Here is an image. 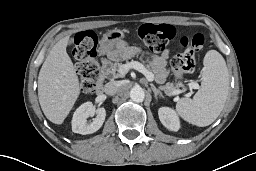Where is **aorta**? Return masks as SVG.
Wrapping results in <instances>:
<instances>
[{
	"label": "aorta",
	"instance_id": "1",
	"mask_svg": "<svg viewBox=\"0 0 256 171\" xmlns=\"http://www.w3.org/2000/svg\"><path fill=\"white\" fill-rule=\"evenodd\" d=\"M130 98L134 102H143L145 99L144 90L140 86H135L130 90Z\"/></svg>",
	"mask_w": 256,
	"mask_h": 171
}]
</instances>
